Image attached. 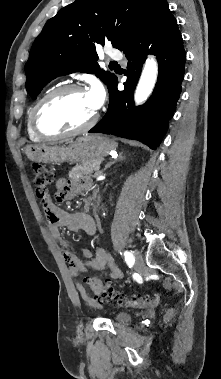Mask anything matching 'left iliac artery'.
Here are the masks:
<instances>
[{"mask_svg": "<svg viewBox=\"0 0 221 379\" xmlns=\"http://www.w3.org/2000/svg\"><path fill=\"white\" fill-rule=\"evenodd\" d=\"M124 258H125L126 263H127L129 266H131V265L134 264L135 258H134V256H133L132 252H130V251H125V252H124Z\"/></svg>", "mask_w": 221, "mask_h": 379, "instance_id": "44dca946", "label": "left iliac artery"}]
</instances>
